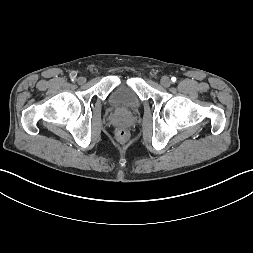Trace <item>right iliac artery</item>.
<instances>
[{
	"mask_svg": "<svg viewBox=\"0 0 253 253\" xmlns=\"http://www.w3.org/2000/svg\"><path fill=\"white\" fill-rule=\"evenodd\" d=\"M70 77H71V80H72V81H75V80H76V77H77V74L74 73V72H72V73L70 74Z\"/></svg>",
	"mask_w": 253,
	"mask_h": 253,
	"instance_id": "right-iliac-artery-1",
	"label": "right iliac artery"
}]
</instances>
